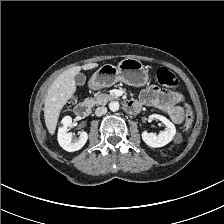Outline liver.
I'll use <instances>...</instances> for the list:
<instances>
[{
    "instance_id": "liver-1",
    "label": "liver",
    "mask_w": 224,
    "mask_h": 224,
    "mask_svg": "<svg viewBox=\"0 0 224 224\" xmlns=\"http://www.w3.org/2000/svg\"><path fill=\"white\" fill-rule=\"evenodd\" d=\"M98 67L97 63L75 66L60 74L48 90L44 104L45 124L50 134H54L58 118L63 106L71 99L76 91L75 76L83 70Z\"/></svg>"
}]
</instances>
